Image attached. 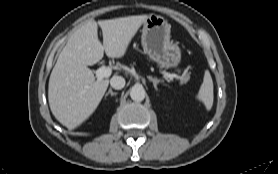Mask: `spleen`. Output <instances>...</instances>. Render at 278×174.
I'll return each mask as SVG.
<instances>
[{"mask_svg":"<svg viewBox=\"0 0 278 174\" xmlns=\"http://www.w3.org/2000/svg\"><path fill=\"white\" fill-rule=\"evenodd\" d=\"M213 81L208 70L204 73L203 83L199 89L197 99L202 101L207 110H210L213 105L214 94H213Z\"/></svg>","mask_w":278,"mask_h":174,"instance_id":"obj_1","label":"spleen"}]
</instances>
